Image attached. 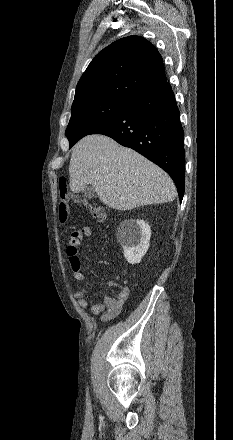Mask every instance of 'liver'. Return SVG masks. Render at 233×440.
I'll return each mask as SVG.
<instances>
[{"label": "liver", "mask_w": 233, "mask_h": 440, "mask_svg": "<svg viewBox=\"0 0 233 440\" xmlns=\"http://www.w3.org/2000/svg\"><path fill=\"white\" fill-rule=\"evenodd\" d=\"M70 189L91 184L106 206L131 210L171 202L176 188L161 168L136 151L104 135H88L74 147L69 165Z\"/></svg>", "instance_id": "6515ba94"}]
</instances>
